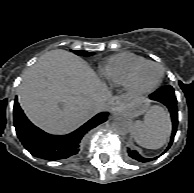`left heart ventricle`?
Masks as SVG:
<instances>
[{
	"mask_svg": "<svg viewBox=\"0 0 194 193\" xmlns=\"http://www.w3.org/2000/svg\"><path fill=\"white\" fill-rule=\"evenodd\" d=\"M160 77V70L156 66L147 65L139 74V82L144 87L154 85Z\"/></svg>",
	"mask_w": 194,
	"mask_h": 193,
	"instance_id": "left-heart-ventricle-1",
	"label": "left heart ventricle"
}]
</instances>
